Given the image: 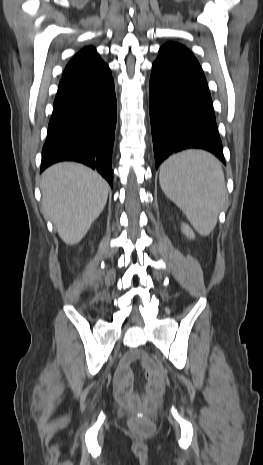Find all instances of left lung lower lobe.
<instances>
[{"instance_id":"0a47b994","label":"left lung lower lobe","mask_w":263,"mask_h":465,"mask_svg":"<svg viewBox=\"0 0 263 465\" xmlns=\"http://www.w3.org/2000/svg\"><path fill=\"white\" fill-rule=\"evenodd\" d=\"M149 105L156 169L188 148L210 151L225 164L206 79L186 47L168 43L160 48L152 65Z\"/></svg>"}]
</instances>
